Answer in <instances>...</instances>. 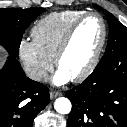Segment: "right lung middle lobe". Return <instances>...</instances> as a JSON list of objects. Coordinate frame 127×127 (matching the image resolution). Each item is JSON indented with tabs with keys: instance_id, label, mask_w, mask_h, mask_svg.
<instances>
[{
	"instance_id": "right-lung-middle-lobe-1",
	"label": "right lung middle lobe",
	"mask_w": 127,
	"mask_h": 127,
	"mask_svg": "<svg viewBox=\"0 0 127 127\" xmlns=\"http://www.w3.org/2000/svg\"><path fill=\"white\" fill-rule=\"evenodd\" d=\"M44 11V8L37 7L28 9H0V45L12 57L17 56L23 33L27 27Z\"/></svg>"
}]
</instances>
